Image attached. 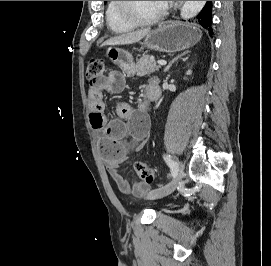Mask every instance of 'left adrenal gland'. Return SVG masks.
<instances>
[{
    "label": "left adrenal gland",
    "instance_id": "1",
    "mask_svg": "<svg viewBox=\"0 0 271 266\" xmlns=\"http://www.w3.org/2000/svg\"><path fill=\"white\" fill-rule=\"evenodd\" d=\"M188 53V51L183 52L182 54L178 55L176 58H174L169 64L168 66L164 69V72H168L169 69L171 68V66L182 56L186 55Z\"/></svg>",
    "mask_w": 271,
    "mask_h": 266
}]
</instances>
